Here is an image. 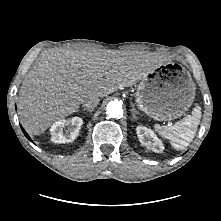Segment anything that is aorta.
Masks as SVG:
<instances>
[{"instance_id": "aorta-1", "label": "aorta", "mask_w": 221, "mask_h": 221, "mask_svg": "<svg viewBox=\"0 0 221 221\" xmlns=\"http://www.w3.org/2000/svg\"><path fill=\"white\" fill-rule=\"evenodd\" d=\"M106 113L111 118H119L123 115L121 103L118 101H111L107 104Z\"/></svg>"}]
</instances>
